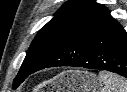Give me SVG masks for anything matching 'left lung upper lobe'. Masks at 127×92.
Listing matches in <instances>:
<instances>
[{"mask_svg":"<svg viewBox=\"0 0 127 92\" xmlns=\"http://www.w3.org/2000/svg\"><path fill=\"white\" fill-rule=\"evenodd\" d=\"M109 15L108 9L95 0L66 2L32 41L20 71L14 79L13 89L17 88L59 47Z\"/></svg>","mask_w":127,"mask_h":92,"instance_id":"1","label":"left lung upper lobe"}]
</instances>
